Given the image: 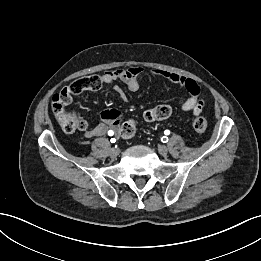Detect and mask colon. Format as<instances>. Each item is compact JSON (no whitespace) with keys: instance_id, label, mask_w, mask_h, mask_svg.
<instances>
[{"instance_id":"colon-1","label":"colon","mask_w":261,"mask_h":261,"mask_svg":"<svg viewBox=\"0 0 261 261\" xmlns=\"http://www.w3.org/2000/svg\"><path fill=\"white\" fill-rule=\"evenodd\" d=\"M90 86L89 78H82L74 81L69 86L56 93L52 98V110L59 124L66 132H74L76 130H85L87 128L86 121L80 119L74 111L68 109L73 95L79 94ZM171 115V109L167 105H158L147 110L143 114V120L146 122L161 121L167 119ZM113 119H117L120 124L119 132L123 138H132L137 130L136 121L133 119L121 120V114L112 112L109 115ZM192 126L198 133H202L207 129V121L203 117H196Z\"/></svg>"}]
</instances>
